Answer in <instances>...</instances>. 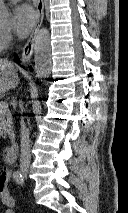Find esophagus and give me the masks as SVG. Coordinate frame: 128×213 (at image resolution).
<instances>
[{
	"instance_id": "obj_1",
	"label": "esophagus",
	"mask_w": 128,
	"mask_h": 213,
	"mask_svg": "<svg viewBox=\"0 0 128 213\" xmlns=\"http://www.w3.org/2000/svg\"><path fill=\"white\" fill-rule=\"evenodd\" d=\"M36 12H37V20H36L35 26L30 34L29 39L24 45L22 54H21V60L24 63L30 61L33 55L36 33L41 27L43 23V19H44V0H36Z\"/></svg>"
}]
</instances>
